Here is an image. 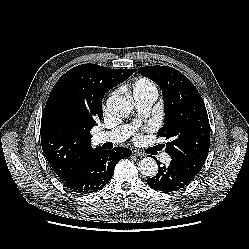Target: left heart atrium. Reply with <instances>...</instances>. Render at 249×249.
Returning <instances> with one entry per match:
<instances>
[{
  "mask_svg": "<svg viewBox=\"0 0 249 249\" xmlns=\"http://www.w3.org/2000/svg\"><path fill=\"white\" fill-rule=\"evenodd\" d=\"M150 129V127H148ZM136 142H142L143 141V135L141 133H137L135 136Z\"/></svg>",
  "mask_w": 249,
  "mask_h": 249,
  "instance_id": "1",
  "label": "left heart atrium"
}]
</instances>
